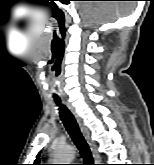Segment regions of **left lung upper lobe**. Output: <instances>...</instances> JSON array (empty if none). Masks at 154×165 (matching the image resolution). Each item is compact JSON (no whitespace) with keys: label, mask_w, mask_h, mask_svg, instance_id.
Here are the masks:
<instances>
[{"label":"left lung upper lobe","mask_w":154,"mask_h":165,"mask_svg":"<svg viewBox=\"0 0 154 165\" xmlns=\"http://www.w3.org/2000/svg\"><path fill=\"white\" fill-rule=\"evenodd\" d=\"M33 165H40L39 154L36 156V160L34 161V164Z\"/></svg>","instance_id":"5c2ea615"}]
</instances>
